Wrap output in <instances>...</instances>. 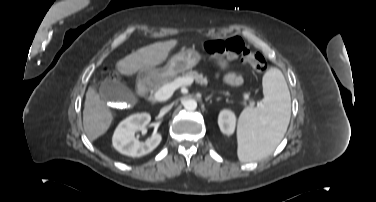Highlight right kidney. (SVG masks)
Wrapping results in <instances>:
<instances>
[{
	"label": "right kidney",
	"instance_id": "right-kidney-1",
	"mask_svg": "<svg viewBox=\"0 0 376 202\" xmlns=\"http://www.w3.org/2000/svg\"><path fill=\"white\" fill-rule=\"evenodd\" d=\"M150 121L148 113L133 114L121 121L112 137L114 148L131 157H141L152 152L161 142L159 133L152 134L145 142H140L134 136L136 131L146 128Z\"/></svg>",
	"mask_w": 376,
	"mask_h": 202
}]
</instances>
